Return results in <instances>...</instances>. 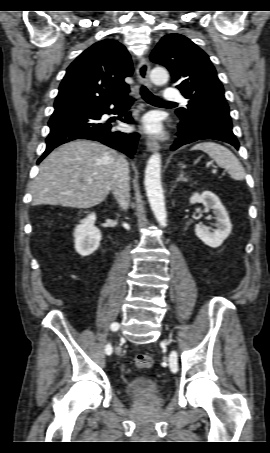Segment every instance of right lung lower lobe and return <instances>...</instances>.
I'll return each instance as SVG.
<instances>
[{"label":"right lung lower lobe","mask_w":270,"mask_h":453,"mask_svg":"<svg viewBox=\"0 0 270 453\" xmlns=\"http://www.w3.org/2000/svg\"><path fill=\"white\" fill-rule=\"evenodd\" d=\"M127 94L128 92L106 103L55 110L49 121L50 133L46 139L47 147L38 163L55 147L75 139L99 141L133 157L139 135L122 133L115 130L109 122L101 121L103 114L114 113L109 108L114 104L115 110L119 109L117 112L125 115V119L121 116L119 119L126 123H133L130 114H126V109L130 107L129 103L133 101Z\"/></svg>","instance_id":"1"}]
</instances>
